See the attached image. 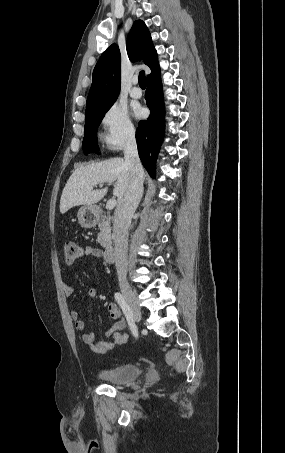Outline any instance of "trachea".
<instances>
[{"instance_id": "3493384b", "label": "trachea", "mask_w": 285, "mask_h": 453, "mask_svg": "<svg viewBox=\"0 0 285 453\" xmlns=\"http://www.w3.org/2000/svg\"><path fill=\"white\" fill-rule=\"evenodd\" d=\"M139 85L140 86H146V77H145V72L141 71L139 73Z\"/></svg>"}]
</instances>
